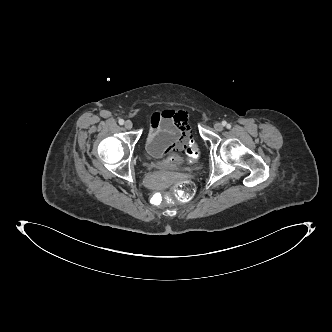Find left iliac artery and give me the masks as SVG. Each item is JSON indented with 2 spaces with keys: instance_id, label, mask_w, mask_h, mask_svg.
<instances>
[{
  "instance_id": "44dca946",
  "label": "left iliac artery",
  "mask_w": 332,
  "mask_h": 332,
  "mask_svg": "<svg viewBox=\"0 0 332 332\" xmlns=\"http://www.w3.org/2000/svg\"><path fill=\"white\" fill-rule=\"evenodd\" d=\"M223 125H224V126H227V127H230V125H229V124H227V122H226V121H224V122H223Z\"/></svg>"
}]
</instances>
